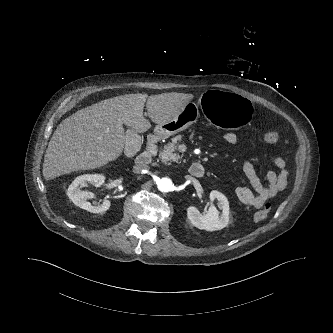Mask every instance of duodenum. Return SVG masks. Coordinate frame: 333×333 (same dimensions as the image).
Segmentation results:
<instances>
[{
  "label": "duodenum",
  "instance_id": "1",
  "mask_svg": "<svg viewBox=\"0 0 333 333\" xmlns=\"http://www.w3.org/2000/svg\"><path fill=\"white\" fill-rule=\"evenodd\" d=\"M157 136L150 135L146 141L145 149L137 155L135 160V165L138 169H143L148 165L155 153H156V144H157ZM204 167L201 163L195 162L192 163L189 167V173L195 178H201L204 175Z\"/></svg>",
  "mask_w": 333,
  "mask_h": 333
}]
</instances>
